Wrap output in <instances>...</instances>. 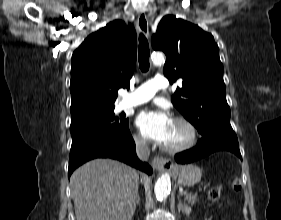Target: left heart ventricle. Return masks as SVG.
<instances>
[{
	"mask_svg": "<svg viewBox=\"0 0 281 220\" xmlns=\"http://www.w3.org/2000/svg\"><path fill=\"white\" fill-rule=\"evenodd\" d=\"M188 138V131L182 124L173 122L168 138L164 142L166 146H177L184 143Z\"/></svg>",
	"mask_w": 281,
	"mask_h": 220,
	"instance_id": "b2bd125f",
	"label": "left heart ventricle"
}]
</instances>
